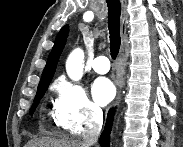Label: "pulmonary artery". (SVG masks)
<instances>
[{"mask_svg":"<svg viewBox=\"0 0 183 147\" xmlns=\"http://www.w3.org/2000/svg\"><path fill=\"white\" fill-rule=\"evenodd\" d=\"M93 70L98 74H106L110 69V62L106 56H98L92 64Z\"/></svg>","mask_w":183,"mask_h":147,"instance_id":"e3ab8cb5","label":"pulmonary artery"}]
</instances>
